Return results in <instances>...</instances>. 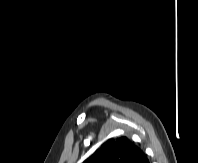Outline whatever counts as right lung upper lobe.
<instances>
[{
  "label": "right lung upper lobe",
  "mask_w": 198,
  "mask_h": 163,
  "mask_svg": "<svg viewBox=\"0 0 198 163\" xmlns=\"http://www.w3.org/2000/svg\"><path fill=\"white\" fill-rule=\"evenodd\" d=\"M83 163H149L143 151L127 137L111 138Z\"/></svg>",
  "instance_id": "cb5924a9"
}]
</instances>
